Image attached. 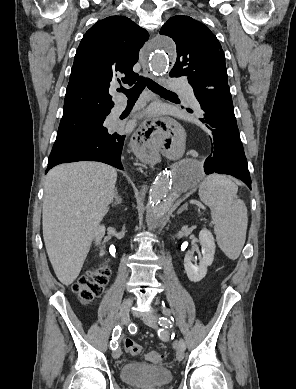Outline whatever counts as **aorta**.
Listing matches in <instances>:
<instances>
[{
    "mask_svg": "<svg viewBox=\"0 0 296 389\" xmlns=\"http://www.w3.org/2000/svg\"><path fill=\"white\" fill-rule=\"evenodd\" d=\"M152 49L150 66L155 74H163L167 69H174L175 44L171 39L157 38L152 44ZM202 172V166L198 161L187 160L177 175L170 171L160 173L150 188L146 207L147 225L155 228L162 224L179 195L192 189Z\"/></svg>",
    "mask_w": 296,
    "mask_h": 389,
    "instance_id": "762f6f07",
    "label": "aorta"
}]
</instances>
